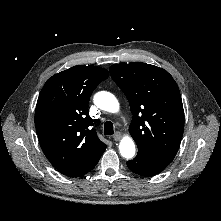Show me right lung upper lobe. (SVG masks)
Segmentation results:
<instances>
[{
    "instance_id": "obj_1",
    "label": "right lung upper lobe",
    "mask_w": 221,
    "mask_h": 221,
    "mask_svg": "<svg viewBox=\"0 0 221 221\" xmlns=\"http://www.w3.org/2000/svg\"><path fill=\"white\" fill-rule=\"evenodd\" d=\"M109 77L95 66H74L53 75L36 105L35 127L41 148L51 164L68 177L91 171L106 149L88 114L92 91Z\"/></svg>"
}]
</instances>
